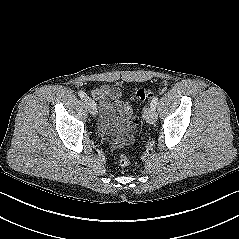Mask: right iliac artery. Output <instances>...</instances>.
<instances>
[{"instance_id":"82829eb1","label":"right iliac artery","mask_w":239,"mask_h":239,"mask_svg":"<svg viewBox=\"0 0 239 239\" xmlns=\"http://www.w3.org/2000/svg\"><path fill=\"white\" fill-rule=\"evenodd\" d=\"M78 95L80 96L81 99H84V100H85L86 97H87V94H86L85 92H83V91H79V92H78Z\"/></svg>"}]
</instances>
